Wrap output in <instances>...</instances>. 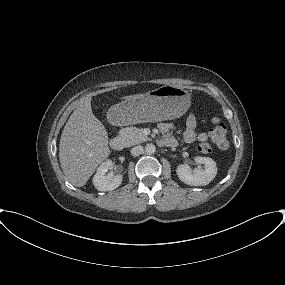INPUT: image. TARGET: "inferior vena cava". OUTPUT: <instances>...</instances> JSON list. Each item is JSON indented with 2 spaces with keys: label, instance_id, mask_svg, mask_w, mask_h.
Instances as JSON below:
<instances>
[{
  "label": "inferior vena cava",
  "instance_id": "obj_1",
  "mask_svg": "<svg viewBox=\"0 0 285 285\" xmlns=\"http://www.w3.org/2000/svg\"><path fill=\"white\" fill-rule=\"evenodd\" d=\"M144 151L143 147L141 145L135 146L131 149V155L138 156L142 154Z\"/></svg>",
  "mask_w": 285,
  "mask_h": 285
}]
</instances>
